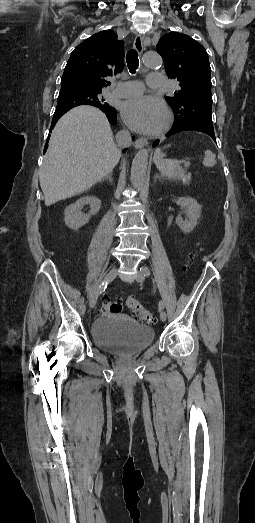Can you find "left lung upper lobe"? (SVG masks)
Returning <instances> with one entry per match:
<instances>
[{
    "instance_id": "obj_1",
    "label": "left lung upper lobe",
    "mask_w": 255,
    "mask_h": 523,
    "mask_svg": "<svg viewBox=\"0 0 255 523\" xmlns=\"http://www.w3.org/2000/svg\"><path fill=\"white\" fill-rule=\"evenodd\" d=\"M157 52L164 60L167 76L180 82V90L165 98L175 114V118H171L173 126L202 127L209 130V136L215 137L211 118V68L205 48L188 35L170 32L160 38Z\"/></svg>"
}]
</instances>
